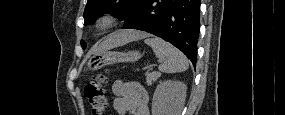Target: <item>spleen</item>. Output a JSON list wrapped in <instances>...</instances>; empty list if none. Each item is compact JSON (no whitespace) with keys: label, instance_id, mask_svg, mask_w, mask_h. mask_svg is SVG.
<instances>
[{"label":"spleen","instance_id":"obj_1","mask_svg":"<svg viewBox=\"0 0 285 115\" xmlns=\"http://www.w3.org/2000/svg\"><path fill=\"white\" fill-rule=\"evenodd\" d=\"M157 58L162 63L159 65V70L164 73L183 72L188 69L189 61L186 56L169 42L158 38L150 37L145 40Z\"/></svg>","mask_w":285,"mask_h":115}]
</instances>
